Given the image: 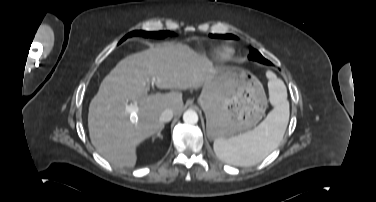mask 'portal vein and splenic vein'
I'll list each match as a JSON object with an SVG mask.
<instances>
[{"mask_svg":"<svg viewBox=\"0 0 376 202\" xmlns=\"http://www.w3.org/2000/svg\"><path fill=\"white\" fill-rule=\"evenodd\" d=\"M154 81H155V78L153 79L152 82H154ZM146 93H147V90H146ZM127 110H128L129 112H133V111L135 110V106L132 105V104H130V105L127 107Z\"/></svg>","mask_w":376,"mask_h":202,"instance_id":"obj_1","label":"portal vein and splenic vein"}]
</instances>
